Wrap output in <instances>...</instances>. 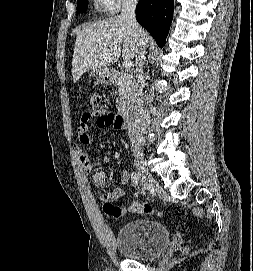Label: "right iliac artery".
I'll use <instances>...</instances> for the list:
<instances>
[{"instance_id": "right-iliac-artery-1", "label": "right iliac artery", "mask_w": 253, "mask_h": 271, "mask_svg": "<svg viewBox=\"0 0 253 271\" xmlns=\"http://www.w3.org/2000/svg\"><path fill=\"white\" fill-rule=\"evenodd\" d=\"M131 180L133 184L138 185L139 183V175L136 172L131 173Z\"/></svg>"}]
</instances>
